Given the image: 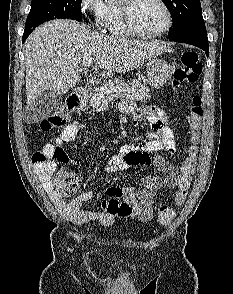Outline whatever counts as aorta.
<instances>
[{"label":"aorta","instance_id":"762f6f07","mask_svg":"<svg viewBox=\"0 0 233 294\" xmlns=\"http://www.w3.org/2000/svg\"><path fill=\"white\" fill-rule=\"evenodd\" d=\"M117 1L118 0H105V2L108 4L116 3Z\"/></svg>","mask_w":233,"mask_h":294}]
</instances>
